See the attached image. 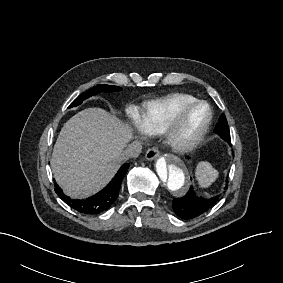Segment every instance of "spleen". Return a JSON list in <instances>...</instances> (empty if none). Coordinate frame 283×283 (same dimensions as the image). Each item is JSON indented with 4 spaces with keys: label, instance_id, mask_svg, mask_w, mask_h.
<instances>
[{
    "label": "spleen",
    "instance_id": "obj_1",
    "mask_svg": "<svg viewBox=\"0 0 283 283\" xmlns=\"http://www.w3.org/2000/svg\"><path fill=\"white\" fill-rule=\"evenodd\" d=\"M197 175L201 186H206L215 179L217 171L212 167L211 164L203 162L197 169Z\"/></svg>",
    "mask_w": 283,
    "mask_h": 283
}]
</instances>
